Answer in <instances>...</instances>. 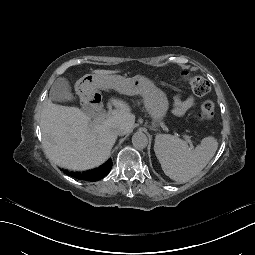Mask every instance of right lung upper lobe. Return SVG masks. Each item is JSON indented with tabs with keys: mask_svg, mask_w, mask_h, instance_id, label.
Returning <instances> with one entry per match:
<instances>
[{
	"mask_svg": "<svg viewBox=\"0 0 255 255\" xmlns=\"http://www.w3.org/2000/svg\"><path fill=\"white\" fill-rule=\"evenodd\" d=\"M111 168H112V160L109 159L105 164H103L99 168H96L90 171L69 172L64 170V173L79 180L94 182L104 178L110 172Z\"/></svg>",
	"mask_w": 255,
	"mask_h": 255,
	"instance_id": "right-lung-upper-lobe-1",
	"label": "right lung upper lobe"
}]
</instances>
